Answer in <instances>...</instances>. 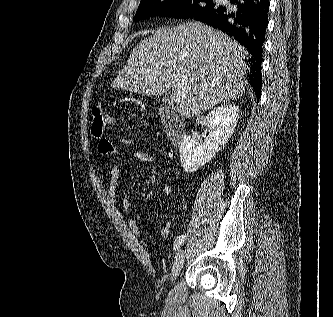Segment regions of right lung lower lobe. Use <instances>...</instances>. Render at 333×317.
I'll return each mask as SVG.
<instances>
[{
    "instance_id": "obj_1",
    "label": "right lung lower lobe",
    "mask_w": 333,
    "mask_h": 317,
    "mask_svg": "<svg viewBox=\"0 0 333 317\" xmlns=\"http://www.w3.org/2000/svg\"><path fill=\"white\" fill-rule=\"evenodd\" d=\"M233 9L213 6L198 13L194 19L228 33L252 54L253 70L248 81L257 96L261 94L262 46L268 25L269 0H229Z\"/></svg>"
}]
</instances>
